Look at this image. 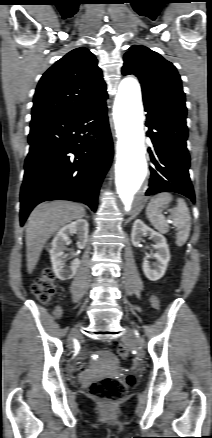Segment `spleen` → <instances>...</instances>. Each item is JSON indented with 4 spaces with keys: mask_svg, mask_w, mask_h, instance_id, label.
<instances>
[{
    "mask_svg": "<svg viewBox=\"0 0 212 438\" xmlns=\"http://www.w3.org/2000/svg\"><path fill=\"white\" fill-rule=\"evenodd\" d=\"M173 200V196L170 193L164 192L155 195L151 198L147 208L146 215L159 232L165 234L169 231V225L162 214V209L167 208L169 203ZM177 205L169 209L174 226L178 232L176 234V245L183 246L189 238L191 229V217L189 208L182 198L176 199Z\"/></svg>",
    "mask_w": 212,
    "mask_h": 438,
    "instance_id": "spleen-1",
    "label": "spleen"
}]
</instances>
